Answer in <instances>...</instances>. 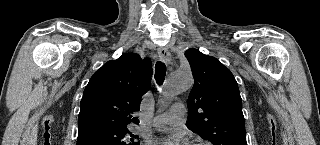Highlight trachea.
I'll return each mask as SVG.
<instances>
[{"mask_svg": "<svg viewBox=\"0 0 320 145\" xmlns=\"http://www.w3.org/2000/svg\"><path fill=\"white\" fill-rule=\"evenodd\" d=\"M166 74V66L163 62H157L155 65V80L158 85L163 84Z\"/></svg>", "mask_w": 320, "mask_h": 145, "instance_id": "1", "label": "trachea"}]
</instances>
